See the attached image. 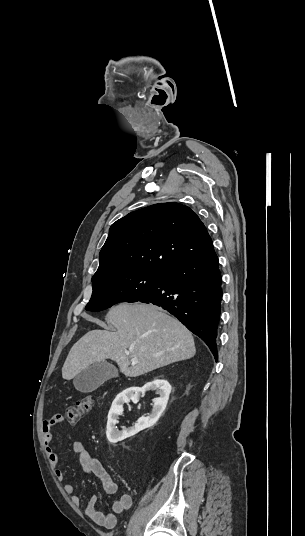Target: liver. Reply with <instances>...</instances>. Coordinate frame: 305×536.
<instances>
[{
  "label": "liver",
  "mask_w": 305,
  "mask_h": 536,
  "mask_svg": "<svg viewBox=\"0 0 305 536\" xmlns=\"http://www.w3.org/2000/svg\"><path fill=\"white\" fill-rule=\"evenodd\" d=\"M105 320L117 332L92 330L78 340L64 362V380L105 360H114L122 374L136 378L196 354L191 332L152 304H119L109 310ZM94 322L102 326L100 320ZM132 358L138 360L135 366H130Z\"/></svg>",
  "instance_id": "liver-1"
}]
</instances>
